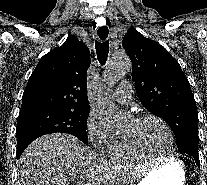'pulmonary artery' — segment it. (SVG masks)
<instances>
[{"label": "pulmonary artery", "instance_id": "1", "mask_svg": "<svg viewBox=\"0 0 207 185\" xmlns=\"http://www.w3.org/2000/svg\"><path fill=\"white\" fill-rule=\"evenodd\" d=\"M124 86H118V88L114 91V98L120 103H129L131 100V94L129 91H132V86L129 81L123 82Z\"/></svg>", "mask_w": 207, "mask_h": 185}]
</instances>
